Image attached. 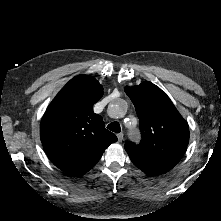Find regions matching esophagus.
I'll return each instance as SVG.
<instances>
[{"label":"esophagus","instance_id":"1","mask_svg":"<svg viewBox=\"0 0 221 221\" xmlns=\"http://www.w3.org/2000/svg\"><path fill=\"white\" fill-rule=\"evenodd\" d=\"M118 142L121 143L123 141V133L117 134Z\"/></svg>","mask_w":221,"mask_h":221}]
</instances>
